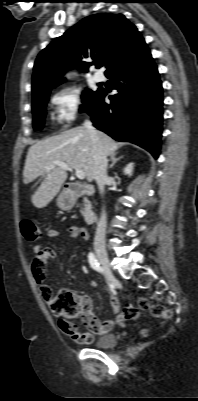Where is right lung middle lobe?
Masks as SVG:
<instances>
[{
  "label": "right lung middle lobe",
  "instance_id": "obj_1",
  "mask_svg": "<svg viewBox=\"0 0 198 401\" xmlns=\"http://www.w3.org/2000/svg\"><path fill=\"white\" fill-rule=\"evenodd\" d=\"M100 92L101 89H98L97 91L85 90L84 94L82 95L84 104L81 106L82 109H80V112H87ZM49 93L50 90L42 92L32 99L33 127L36 130H40L44 126L46 104L49 98Z\"/></svg>",
  "mask_w": 198,
  "mask_h": 401
}]
</instances>
